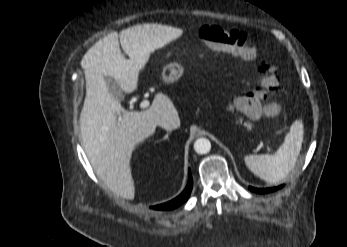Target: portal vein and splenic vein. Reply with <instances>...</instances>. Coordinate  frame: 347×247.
Returning a JSON list of instances; mask_svg holds the SVG:
<instances>
[{
	"label": "portal vein and splenic vein",
	"mask_w": 347,
	"mask_h": 247,
	"mask_svg": "<svg viewBox=\"0 0 347 247\" xmlns=\"http://www.w3.org/2000/svg\"><path fill=\"white\" fill-rule=\"evenodd\" d=\"M150 105V102H149V100H147V99H144L141 103H140V107L141 108H146V107H148Z\"/></svg>",
	"instance_id": "portal-vein-and-splenic-vein-1"
}]
</instances>
